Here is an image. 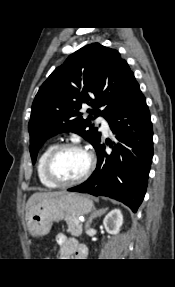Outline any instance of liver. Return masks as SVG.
I'll use <instances>...</instances> for the list:
<instances>
[{
	"label": "liver",
	"mask_w": 175,
	"mask_h": 287,
	"mask_svg": "<svg viewBox=\"0 0 175 287\" xmlns=\"http://www.w3.org/2000/svg\"><path fill=\"white\" fill-rule=\"evenodd\" d=\"M64 192H36L30 196L26 203V215L30 209L33 208L34 205L41 202L44 199L55 197L62 195Z\"/></svg>",
	"instance_id": "obj_1"
}]
</instances>
